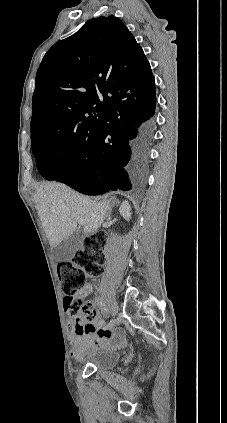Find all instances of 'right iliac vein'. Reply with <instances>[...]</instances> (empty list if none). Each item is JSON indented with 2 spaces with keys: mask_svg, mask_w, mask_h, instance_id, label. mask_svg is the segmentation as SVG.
<instances>
[{
  "mask_svg": "<svg viewBox=\"0 0 227 423\" xmlns=\"http://www.w3.org/2000/svg\"><path fill=\"white\" fill-rule=\"evenodd\" d=\"M110 309H111V313H112V315H115L116 314V312H117V306H116V304H112L111 305V307H110Z\"/></svg>",
  "mask_w": 227,
  "mask_h": 423,
  "instance_id": "63e3f726",
  "label": "right iliac vein"
}]
</instances>
